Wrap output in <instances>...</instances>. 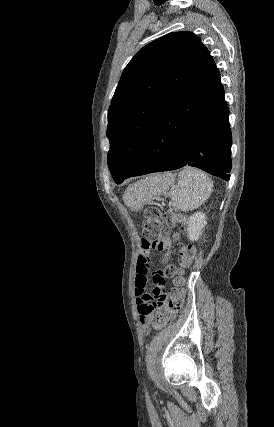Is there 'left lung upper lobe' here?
Returning <instances> with one entry per match:
<instances>
[{"mask_svg": "<svg viewBox=\"0 0 274 427\" xmlns=\"http://www.w3.org/2000/svg\"><path fill=\"white\" fill-rule=\"evenodd\" d=\"M210 56L192 32L167 34L143 47L124 69L108 110V166L125 174L153 126Z\"/></svg>", "mask_w": 274, "mask_h": 427, "instance_id": "1", "label": "left lung upper lobe"}]
</instances>
